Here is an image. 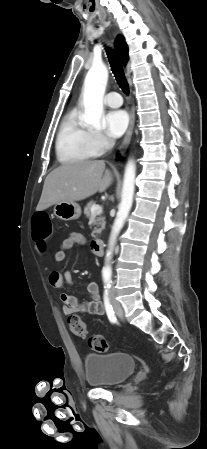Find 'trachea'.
Masks as SVG:
<instances>
[{"label": "trachea", "mask_w": 207, "mask_h": 449, "mask_svg": "<svg viewBox=\"0 0 207 449\" xmlns=\"http://www.w3.org/2000/svg\"><path fill=\"white\" fill-rule=\"evenodd\" d=\"M107 57L109 59L111 70L114 74L117 84L124 93L129 94V85L118 56L113 52L112 49H107Z\"/></svg>", "instance_id": "trachea-1"}]
</instances>
